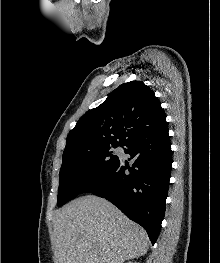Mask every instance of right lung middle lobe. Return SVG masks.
<instances>
[{"instance_id": "dd1d6c3e", "label": "right lung middle lobe", "mask_w": 220, "mask_h": 263, "mask_svg": "<svg viewBox=\"0 0 220 263\" xmlns=\"http://www.w3.org/2000/svg\"><path fill=\"white\" fill-rule=\"evenodd\" d=\"M120 158L111 147L63 154L57 205L60 207L102 178Z\"/></svg>"}]
</instances>
